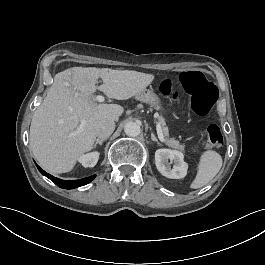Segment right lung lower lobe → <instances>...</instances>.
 Here are the masks:
<instances>
[{
  "instance_id": "right-lung-lower-lobe-1",
  "label": "right lung lower lobe",
  "mask_w": 265,
  "mask_h": 265,
  "mask_svg": "<svg viewBox=\"0 0 265 265\" xmlns=\"http://www.w3.org/2000/svg\"><path fill=\"white\" fill-rule=\"evenodd\" d=\"M37 168L43 175H45L47 178L53 181L57 186H59L60 188H64V189H73L79 186H83L85 184L90 183L96 177V175H92L90 177L79 179V180H61V179H58L46 173L39 166H37Z\"/></svg>"
}]
</instances>
